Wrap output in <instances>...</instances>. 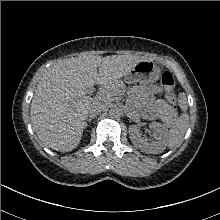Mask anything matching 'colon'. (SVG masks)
<instances>
[{"label": "colon", "mask_w": 220, "mask_h": 220, "mask_svg": "<svg viewBox=\"0 0 220 220\" xmlns=\"http://www.w3.org/2000/svg\"><path fill=\"white\" fill-rule=\"evenodd\" d=\"M161 84L165 91L166 98L173 105L177 104V98L174 93L175 79L170 72H164L161 76Z\"/></svg>", "instance_id": "1"}]
</instances>
